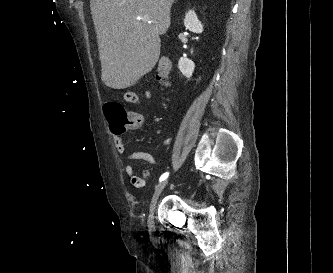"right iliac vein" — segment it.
I'll return each instance as SVG.
<instances>
[{
	"mask_svg": "<svg viewBox=\"0 0 333 273\" xmlns=\"http://www.w3.org/2000/svg\"><path fill=\"white\" fill-rule=\"evenodd\" d=\"M168 180H164L161 183H159L154 191V194L152 196L150 206H149V213H148V218H147V225H148V230L149 232H153L155 230V222H154V210L155 206L157 203V200L164 190V188L167 186Z\"/></svg>",
	"mask_w": 333,
	"mask_h": 273,
	"instance_id": "1",
	"label": "right iliac vein"
}]
</instances>
